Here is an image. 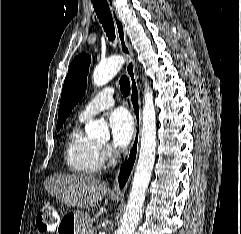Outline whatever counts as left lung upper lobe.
I'll list each match as a JSON object with an SVG mask.
<instances>
[{
	"label": "left lung upper lobe",
	"instance_id": "obj_1",
	"mask_svg": "<svg viewBox=\"0 0 241 234\" xmlns=\"http://www.w3.org/2000/svg\"><path fill=\"white\" fill-rule=\"evenodd\" d=\"M90 56L83 53L77 56L69 67L61 94L57 130L60 129L74 106L85 94Z\"/></svg>",
	"mask_w": 241,
	"mask_h": 234
}]
</instances>
